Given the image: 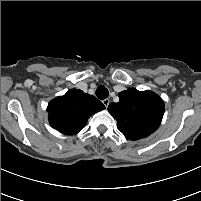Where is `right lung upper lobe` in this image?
Listing matches in <instances>:
<instances>
[{"label": "right lung upper lobe", "mask_w": 201, "mask_h": 201, "mask_svg": "<svg viewBox=\"0 0 201 201\" xmlns=\"http://www.w3.org/2000/svg\"><path fill=\"white\" fill-rule=\"evenodd\" d=\"M103 109L105 106L94 96L71 89L50 101L47 112L53 128L65 135H75L85 127L92 114Z\"/></svg>", "instance_id": "obj_1"}]
</instances>
